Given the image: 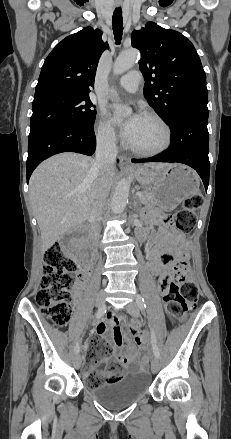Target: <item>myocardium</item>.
I'll return each mask as SVG.
<instances>
[{"label":"myocardium","mask_w":231,"mask_h":439,"mask_svg":"<svg viewBox=\"0 0 231 439\" xmlns=\"http://www.w3.org/2000/svg\"><path fill=\"white\" fill-rule=\"evenodd\" d=\"M144 117L156 121L162 127V129L164 131L163 143L160 146L153 148V149H139V148L131 146L130 144H128L127 147L133 153H135L139 156H144V157L155 156V155H158V154L166 151L170 147V145L172 143V129H171L170 125L167 123V121L156 112H151V111L145 112Z\"/></svg>","instance_id":"obj_1"}]
</instances>
